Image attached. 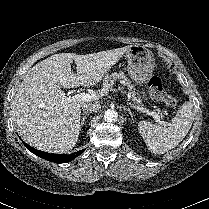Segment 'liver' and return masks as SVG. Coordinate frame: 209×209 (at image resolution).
I'll return each instance as SVG.
<instances>
[{
	"label": "liver",
	"instance_id": "liver-1",
	"mask_svg": "<svg viewBox=\"0 0 209 209\" xmlns=\"http://www.w3.org/2000/svg\"><path fill=\"white\" fill-rule=\"evenodd\" d=\"M129 48L86 55L54 54L33 66L12 101L13 122L23 140L46 152L64 153L72 149L78 141L80 107L84 101H70L61 86L95 85ZM73 61L76 74L71 72Z\"/></svg>",
	"mask_w": 209,
	"mask_h": 209
}]
</instances>
